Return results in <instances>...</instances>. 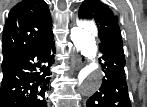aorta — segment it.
I'll return each mask as SVG.
<instances>
[{
    "instance_id": "1",
    "label": "aorta",
    "mask_w": 147,
    "mask_h": 107,
    "mask_svg": "<svg viewBox=\"0 0 147 107\" xmlns=\"http://www.w3.org/2000/svg\"><path fill=\"white\" fill-rule=\"evenodd\" d=\"M95 33V25L89 22H83L71 29L70 36L75 48L87 59H92L96 55ZM102 77L103 73L98 67L82 68L78 75L81 94L87 96L96 92L101 85Z\"/></svg>"
}]
</instances>
